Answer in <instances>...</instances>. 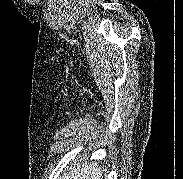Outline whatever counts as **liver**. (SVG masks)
Here are the masks:
<instances>
[{"label": "liver", "mask_w": 183, "mask_h": 179, "mask_svg": "<svg viewBox=\"0 0 183 179\" xmlns=\"http://www.w3.org/2000/svg\"><path fill=\"white\" fill-rule=\"evenodd\" d=\"M58 179H103L102 169L99 163H87L83 158L82 165L74 164L73 167H67V171Z\"/></svg>", "instance_id": "6515ba94"}]
</instances>
